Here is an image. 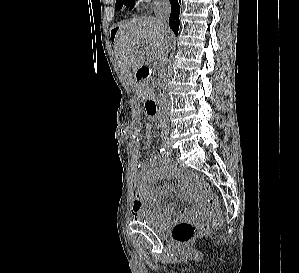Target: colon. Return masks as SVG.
Returning <instances> with one entry per match:
<instances>
[{
	"instance_id": "colon-1",
	"label": "colon",
	"mask_w": 299,
	"mask_h": 273,
	"mask_svg": "<svg viewBox=\"0 0 299 273\" xmlns=\"http://www.w3.org/2000/svg\"><path fill=\"white\" fill-rule=\"evenodd\" d=\"M151 144L152 137L144 135V148H150ZM205 213L210 219L209 223H192L189 221L176 223L171 232L173 240L179 244L188 243L196 236L206 233L210 226L219 223V206L215 196L211 195L205 199Z\"/></svg>"
}]
</instances>
